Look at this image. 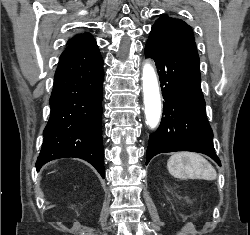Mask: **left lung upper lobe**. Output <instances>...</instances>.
<instances>
[{"label":"left lung upper lobe","instance_id":"1","mask_svg":"<svg viewBox=\"0 0 250 235\" xmlns=\"http://www.w3.org/2000/svg\"><path fill=\"white\" fill-rule=\"evenodd\" d=\"M150 35H156L164 40L176 41L190 39L195 41L193 31L187 23L181 19H175L167 15L158 18L152 26Z\"/></svg>","mask_w":250,"mask_h":235}]
</instances>
